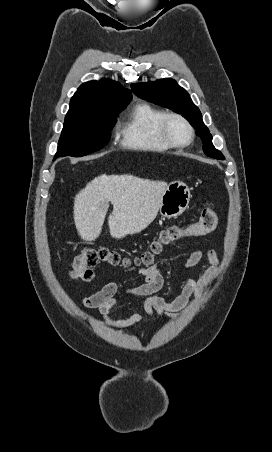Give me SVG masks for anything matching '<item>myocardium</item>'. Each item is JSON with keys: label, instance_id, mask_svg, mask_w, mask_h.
<instances>
[{"label": "myocardium", "instance_id": "f54148a6", "mask_svg": "<svg viewBox=\"0 0 272 452\" xmlns=\"http://www.w3.org/2000/svg\"><path fill=\"white\" fill-rule=\"evenodd\" d=\"M176 119L178 121H180L181 123H183V125L186 127L187 131H188V139L185 142H177L175 141L170 132H169V123L171 120ZM160 132L161 135L163 137V139L166 141V143H168L171 147H175V148H182V147H186L188 146L194 139V128L191 125V123L189 122V120L183 116L180 113H176V112H170V113H166L165 116L163 117L161 124H160Z\"/></svg>", "mask_w": 272, "mask_h": 452}]
</instances>
